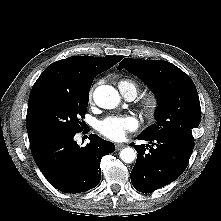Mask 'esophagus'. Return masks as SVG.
<instances>
[{
  "instance_id": "34e87169",
  "label": "esophagus",
  "mask_w": 221,
  "mask_h": 221,
  "mask_svg": "<svg viewBox=\"0 0 221 221\" xmlns=\"http://www.w3.org/2000/svg\"><path fill=\"white\" fill-rule=\"evenodd\" d=\"M124 146H125L124 144H119V143H117V144L115 145L116 150H120V149H122Z\"/></svg>"
}]
</instances>
